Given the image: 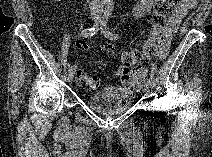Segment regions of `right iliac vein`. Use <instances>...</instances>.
Wrapping results in <instances>:
<instances>
[{
	"instance_id": "obj_1",
	"label": "right iliac vein",
	"mask_w": 212,
	"mask_h": 157,
	"mask_svg": "<svg viewBox=\"0 0 212 157\" xmlns=\"http://www.w3.org/2000/svg\"><path fill=\"white\" fill-rule=\"evenodd\" d=\"M92 18L98 20V17H96L95 15H93ZM73 77H74L73 73H69L67 77L68 82H72Z\"/></svg>"
}]
</instances>
